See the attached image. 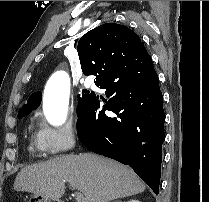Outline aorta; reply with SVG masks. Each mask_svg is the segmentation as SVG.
I'll list each match as a JSON object with an SVG mask.
<instances>
[{
  "label": "aorta",
  "mask_w": 209,
  "mask_h": 202,
  "mask_svg": "<svg viewBox=\"0 0 209 202\" xmlns=\"http://www.w3.org/2000/svg\"><path fill=\"white\" fill-rule=\"evenodd\" d=\"M70 79L66 72L58 71L48 80L43 95V111L51 125L60 126L67 118Z\"/></svg>",
  "instance_id": "obj_1"
}]
</instances>
